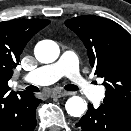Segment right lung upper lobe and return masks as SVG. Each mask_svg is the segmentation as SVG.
<instances>
[{"mask_svg": "<svg viewBox=\"0 0 131 131\" xmlns=\"http://www.w3.org/2000/svg\"><path fill=\"white\" fill-rule=\"evenodd\" d=\"M50 23L45 19H15L0 22V92L8 91V80L27 42Z\"/></svg>", "mask_w": 131, "mask_h": 131, "instance_id": "obj_1", "label": "right lung upper lobe"}]
</instances>
